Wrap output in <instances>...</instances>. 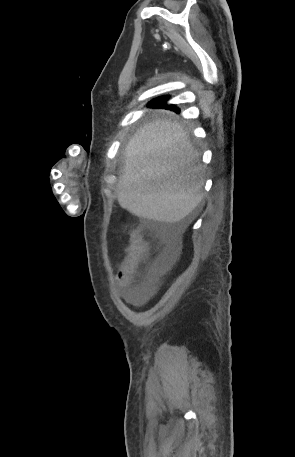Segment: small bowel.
<instances>
[{
	"label": "small bowel",
	"mask_w": 295,
	"mask_h": 457,
	"mask_svg": "<svg viewBox=\"0 0 295 457\" xmlns=\"http://www.w3.org/2000/svg\"><path fill=\"white\" fill-rule=\"evenodd\" d=\"M131 274L128 273H121L120 275V282L123 286H127L130 283ZM148 288L146 286H135L129 288L126 291V298L127 300L134 304V305H141L143 304L148 298Z\"/></svg>",
	"instance_id": "obj_1"
}]
</instances>
